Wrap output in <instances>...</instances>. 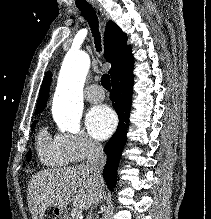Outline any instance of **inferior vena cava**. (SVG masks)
Masks as SVG:
<instances>
[{
	"label": "inferior vena cava",
	"instance_id": "inferior-vena-cava-1",
	"mask_svg": "<svg viewBox=\"0 0 211 219\" xmlns=\"http://www.w3.org/2000/svg\"><path fill=\"white\" fill-rule=\"evenodd\" d=\"M106 163V155L103 151V147L100 143L95 141L89 142L88 158L86 162V168L90 172L91 177L95 183V188L99 191L103 187L102 170ZM97 200L91 207L90 212L87 215V219H94L93 209L98 205Z\"/></svg>",
	"mask_w": 211,
	"mask_h": 219
}]
</instances>
